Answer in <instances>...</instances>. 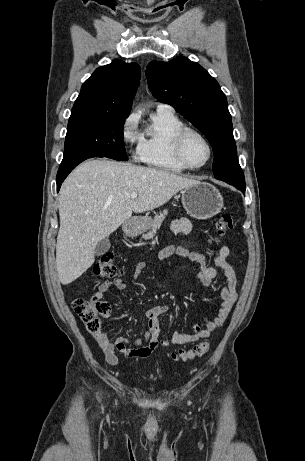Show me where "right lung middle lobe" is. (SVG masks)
Masks as SVG:
<instances>
[{
	"mask_svg": "<svg viewBox=\"0 0 305 461\" xmlns=\"http://www.w3.org/2000/svg\"><path fill=\"white\" fill-rule=\"evenodd\" d=\"M127 117L71 111L61 166L93 157L126 161L123 125Z\"/></svg>",
	"mask_w": 305,
	"mask_h": 461,
	"instance_id": "right-lung-middle-lobe-1",
	"label": "right lung middle lobe"
}]
</instances>
